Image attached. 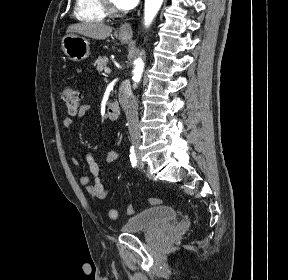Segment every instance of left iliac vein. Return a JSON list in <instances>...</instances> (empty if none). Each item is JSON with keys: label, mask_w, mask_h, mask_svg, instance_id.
I'll list each match as a JSON object with an SVG mask.
<instances>
[{"label": "left iliac vein", "mask_w": 288, "mask_h": 280, "mask_svg": "<svg viewBox=\"0 0 288 280\" xmlns=\"http://www.w3.org/2000/svg\"><path fill=\"white\" fill-rule=\"evenodd\" d=\"M143 167H144V163L139 159L138 160V168L143 169Z\"/></svg>", "instance_id": "left-iliac-vein-1"}]
</instances>
